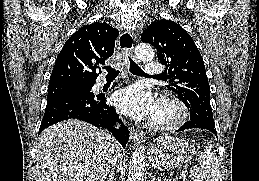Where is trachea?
I'll use <instances>...</instances> for the list:
<instances>
[{"label": "trachea", "mask_w": 259, "mask_h": 181, "mask_svg": "<svg viewBox=\"0 0 259 181\" xmlns=\"http://www.w3.org/2000/svg\"><path fill=\"white\" fill-rule=\"evenodd\" d=\"M128 58H129V62H130L129 70L132 74L139 75V76H148L130 57H128ZM104 69L107 71V76H106L107 78H116L119 75V71L111 66L104 67ZM155 77L162 78L163 76L157 75Z\"/></svg>", "instance_id": "trachea-1"}]
</instances>
